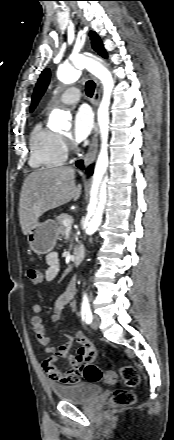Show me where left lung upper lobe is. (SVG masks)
<instances>
[{"instance_id": "1", "label": "left lung upper lobe", "mask_w": 174, "mask_h": 440, "mask_svg": "<svg viewBox=\"0 0 174 440\" xmlns=\"http://www.w3.org/2000/svg\"><path fill=\"white\" fill-rule=\"evenodd\" d=\"M90 37L92 40L93 49L96 52H98L102 57L107 58L106 51L102 45V42H101L99 36L95 32H91ZM49 81H50V71H49V69H45L42 72V74L40 75V78H39V80L36 84V87L34 89L30 111H33L34 108L36 107L41 96L44 94V92L49 84Z\"/></svg>"}]
</instances>
